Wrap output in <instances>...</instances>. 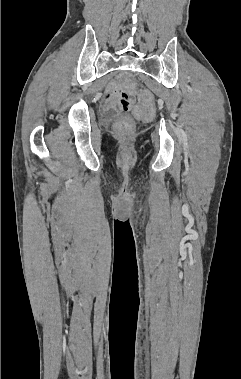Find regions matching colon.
Masks as SVG:
<instances>
[{
    "label": "colon",
    "mask_w": 241,
    "mask_h": 379,
    "mask_svg": "<svg viewBox=\"0 0 241 379\" xmlns=\"http://www.w3.org/2000/svg\"><path fill=\"white\" fill-rule=\"evenodd\" d=\"M115 98L123 110H130L132 108L139 117H148L153 111V105L148 96L140 98L139 103L133 104L129 95L124 92H117ZM117 129L122 134H129L134 129L133 121L125 119L117 124Z\"/></svg>",
    "instance_id": "colon-1"
}]
</instances>
